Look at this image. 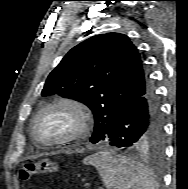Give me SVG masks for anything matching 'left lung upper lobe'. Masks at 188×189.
<instances>
[{
	"label": "left lung upper lobe",
	"mask_w": 188,
	"mask_h": 189,
	"mask_svg": "<svg viewBox=\"0 0 188 189\" xmlns=\"http://www.w3.org/2000/svg\"><path fill=\"white\" fill-rule=\"evenodd\" d=\"M150 83L137 48L119 33L95 35L72 48L50 73L42 96L59 94L86 104L95 118L90 142H99L137 93ZM161 137L137 149L158 147Z\"/></svg>",
	"instance_id": "5c2ea615"
}]
</instances>
